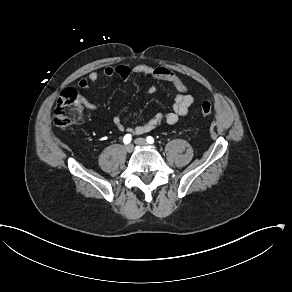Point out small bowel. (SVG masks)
Instances as JSON below:
<instances>
[{
	"label": "small bowel",
	"mask_w": 292,
	"mask_h": 292,
	"mask_svg": "<svg viewBox=\"0 0 292 292\" xmlns=\"http://www.w3.org/2000/svg\"><path fill=\"white\" fill-rule=\"evenodd\" d=\"M102 74L106 77H112L118 75L122 79L126 80L133 74L146 75L154 80L168 82L176 90L172 110L166 114L156 113L146 122L139 124L131 129L134 134H145L157 127L163 122L168 125H175L180 122L182 118H185L189 114L190 107L193 105L195 99L192 94L189 93L188 86L185 82L172 70L166 67H152L144 64H139L133 67L121 64L117 66H106L102 70ZM100 74L97 71H91L86 77L79 79L77 85L80 89L88 90L91 85L99 80ZM156 91V86H151L148 89V93L152 94ZM79 102H82L89 108L98 109L100 104L98 102H92L83 95L77 97ZM115 128L124 132L126 127L122 119L115 116L112 120Z\"/></svg>",
	"instance_id": "c3829d8e"
}]
</instances>
